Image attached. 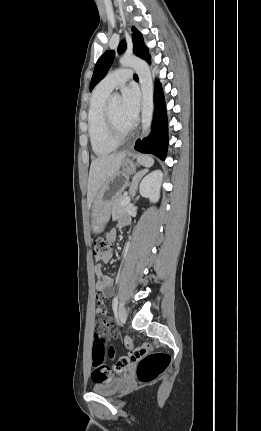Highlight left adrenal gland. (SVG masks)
I'll return each instance as SVG.
<instances>
[{
  "instance_id": "left-adrenal-gland-1",
  "label": "left adrenal gland",
  "mask_w": 261,
  "mask_h": 431,
  "mask_svg": "<svg viewBox=\"0 0 261 431\" xmlns=\"http://www.w3.org/2000/svg\"><path fill=\"white\" fill-rule=\"evenodd\" d=\"M147 171H148V170L141 171V172H139V173H138V174L133 178V180H132V182H131V184H130V189H129L130 194H131V196H132V197H134V196H135L136 191H137V189H138V184H139V182H140L141 178L145 175V173H146Z\"/></svg>"
}]
</instances>
